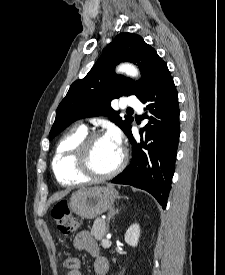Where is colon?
<instances>
[{"label": "colon", "mask_w": 225, "mask_h": 275, "mask_svg": "<svg viewBox=\"0 0 225 275\" xmlns=\"http://www.w3.org/2000/svg\"><path fill=\"white\" fill-rule=\"evenodd\" d=\"M52 217L56 222L58 230L63 235H70L76 230V222L71 218L69 207L66 201L58 202L52 209ZM62 266L64 269L75 272L80 269V261L75 256L64 259Z\"/></svg>", "instance_id": "obj_1"}]
</instances>
